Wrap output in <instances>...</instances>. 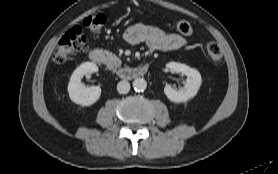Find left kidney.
<instances>
[{"mask_svg": "<svg viewBox=\"0 0 278 174\" xmlns=\"http://www.w3.org/2000/svg\"><path fill=\"white\" fill-rule=\"evenodd\" d=\"M166 66L177 73L187 76L184 87L179 90H175L170 85L165 86L164 93L167 98L172 102L182 103L196 96L202 83L201 75L198 70L176 62H170Z\"/></svg>", "mask_w": 278, "mask_h": 174, "instance_id": "left-kidney-1", "label": "left kidney"}]
</instances>
